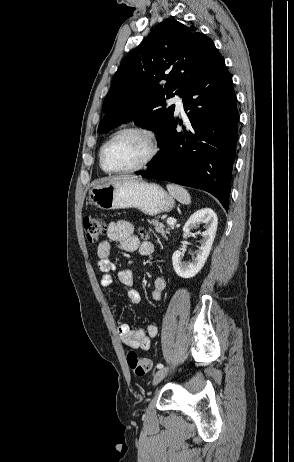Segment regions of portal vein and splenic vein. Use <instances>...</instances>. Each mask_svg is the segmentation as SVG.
Here are the masks:
<instances>
[{
    "label": "portal vein and splenic vein",
    "instance_id": "18ae733b",
    "mask_svg": "<svg viewBox=\"0 0 294 462\" xmlns=\"http://www.w3.org/2000/svg\"><path fill=\"white\" fill-rule=\"evenodd\" d=\"M167 224L170 225V226H174L176 224V219L168 218L167 219Z\"/></svg>",
    "mask_w": 294,
    "mask_h": 462
}]
</instances>
